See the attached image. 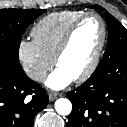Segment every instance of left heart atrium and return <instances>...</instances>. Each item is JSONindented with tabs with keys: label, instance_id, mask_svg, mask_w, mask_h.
I'll use <instances>...</instances> for the list:
<instances>
[{
	"label": "left heart atrium",
	"instance_id": "obj_1",
	"mask_svg": "<svg viewBox=\"0 0 127 127\" xmlns=\"http://www.w3.org/2000/svg\"><path fill=\"white\" fill-rule=\"evenodd\" d=\"M73 80L72 75L58 67L48 76L45 83L53 90H60L68 86Z\"/></svg>",
	"mask_w": 127,
	"mask_h": 127
}]
</instances>
